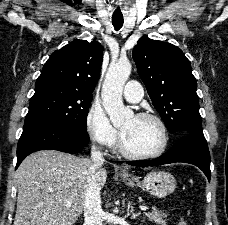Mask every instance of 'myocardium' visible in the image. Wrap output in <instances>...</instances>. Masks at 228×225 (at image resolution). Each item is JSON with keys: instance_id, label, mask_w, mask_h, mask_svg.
Listing matches in <instances>:
<instances>
[{"instance_id": "1", "label": "myocardium", "mask_w": 228, "mask_h": 225, "mask_svg": "<svg viewBox=\"0 0 228 225\" xmlns=\"http://www.w3.org/2000/svg\"><path fill=\"white\" fill-rule=\"evenodd\" d=\"M136 118L138 119H149L152 120L154 122H156L162 131L163 134V143L161 148L154 152V153H140V152H136L131 150L125 141V137L124 134H121V138H120V150L123 154L135 158V159H155V158H159L160 156H162L165 151L168 148V144H169V130L168 127L166 125V123L162 120V118H160L159 116L155 115V114H151V113H138L135 115Z\"/></svg>"}]
</instances>
